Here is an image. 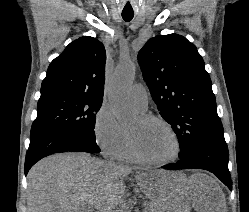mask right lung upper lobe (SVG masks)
Here are the masks:
<instances>
[{
  "instance_id": "obj_1",
  "label": "right lung upper lobe",
  "mask_w": 249,
  "mask_h": 212,
  "mask_svg": "<svg viewBox=\"0 0 249 212\" xmlns=\"http://www.w3.org/2000/svg\"><path fill=\"white\" fill-rule=\"evenodd\" d=\"M105 48L84 36L70 43L49 65L41 96L64 93L102 99L105 82Z\"/></svg>"
}]
</instances>
